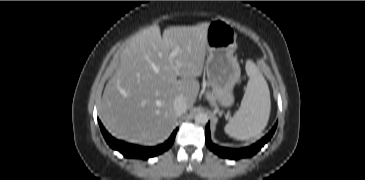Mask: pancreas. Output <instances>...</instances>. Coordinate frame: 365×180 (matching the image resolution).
Here are the masks:
<instances>
[{"label":"pancreas","mask_w":365,"mask_h":180,"mask_svg":"<svg viewBox=\"0 0 365 180\" xmlns=\"http://www.w3.org/2000/svg\"><path fill=\"white\" fill-rule=\"evenodd\" d=\"M206 96H207V99L210 101V103L214 105L215 104V97H214V95L211 94L210 92H207Z\"/></svg>","instance_id":"obj_1"}]
</instances>
